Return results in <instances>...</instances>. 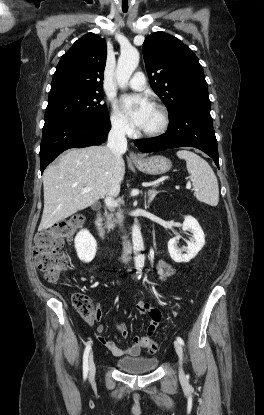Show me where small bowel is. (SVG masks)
Returning a JSON list of instances; mask_svg holds the SVG:
<instances>
[{"label": "small bowel", "instance_id": "c3829d8e", "mask_svg": "<svg viewBox=\"0 0 264 415\" xmlns=\"http://www.w3.org/2000/svg\"><path fill=\"white\" fill-rule=\"evenodd\" d=\"M173 273L172 266L166 261H159L157 265V275L156 281H163ZM136 311L139 313L149 312V322L147 326V333L151 335L157 329L161 314L156 309H149V304L146 300L140 299L135 305ZM103 331V326L100 325L97 327L98 340L103 344L113 355L121 357H138L142 349H144V344L142 342V337L135 336L133 343L127 348L118 347L113 341L107 340L101 335ZM118 331L120 334L127 338L129 337V332L125 325L120 324L118 326Z\"/></svg>", "mask_w": 264, "mask_h": 415}]
</instances>
